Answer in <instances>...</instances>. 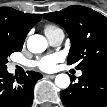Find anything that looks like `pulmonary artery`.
Returning <instances> with one entry per match:
<instances>
[{"label": "pulmonary artery", "instance_id": "obj_1", "mask_svg": "<svg viewBox=\"0 0 107 107\" xmlns=\"http://www.w3.org/2000/svg\"><path fill=\"white\" fill-rule=\"evenodd\" d=\"M49 42L52 44V45H59L62 43V41L64 40V33L62 30H58L52 34H49V35H46ZM78 76H81L82 75V72L79 71L77 73Z\"/></svg>", "mask_w": 107, "mask_h": 107}]
</instances>
